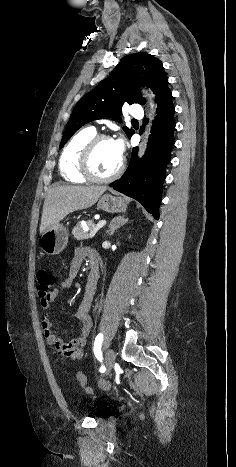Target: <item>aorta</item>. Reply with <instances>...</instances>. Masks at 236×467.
Listing matches in <instances>:
<instances>
[{
  "label": "aorta",
  "mask_w": 236,
  "mask_h": 467,
  "mask_svg": "<svg viewBox=\"0 0 236 467\" xmlns=\"http://www.w3.org/2000/svg\"><path fill=\"white\" fill-rule=\"evenodd\" d=\"M151 107H153V103L151 102ZM145 142V145H146V140L144 141Z\"/></svg>",
  "instance_id": "762f6f07"
}]
</instances>
